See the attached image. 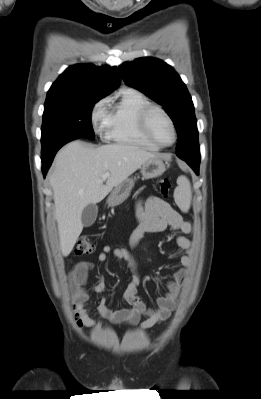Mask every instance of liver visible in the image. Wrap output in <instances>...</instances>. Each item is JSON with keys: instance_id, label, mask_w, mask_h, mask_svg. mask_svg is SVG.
Returning a JSON list of instances; mask_svg holds the SVG:
<instances>
[{"instance_id": "6515ba94", "label": "liver", "mask_w": 261, "mask_h": 399, "mask_svg": "<svg viewBox=\"0 0 261 399\" xmlns=\"http://www.w3.org/2000/svg\"><path fill=\"white\" fill-rule=\"evenodd\" d=\"M157 155L138 146L109 144L97 148L73 141L56 155L50 175L60 248L67 257L83 230L81 215L89 204L102 201L143 163ZM108 172L106 184L102 175Z\"/></svg>"}]
</instances>
